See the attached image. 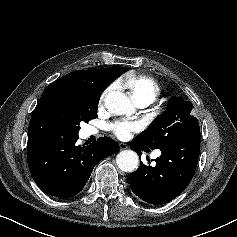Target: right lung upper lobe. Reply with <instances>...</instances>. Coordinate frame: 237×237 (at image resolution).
Segmentation results:
<instances>
[{
  "label": "right lung upper lobe",
  "mask_w": 237,
  "mask_h": 237,
  "mask_svg": "<svg viewBox=\"0 0 237 237\" xmlns=\"http://www.w3.org/2000/svg\"><path fill=\"white\" fill-rule=\"evenodd\" d=\"M122 74L124 67H112ZM119 75V76H120ZM93 70H76L51 83L43 91L28 128V142L61 133V108L66 100L87 99L101 95Z\"/></svg>",
  "instance_id": "obj_1"
}]
</instances>
